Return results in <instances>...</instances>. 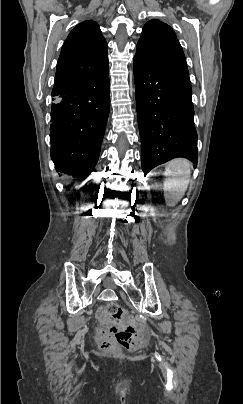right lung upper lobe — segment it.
I'll return each mask as SVG.
<instances>
[{
    "label": "right lung upper lobe",
    "mask_w": 243,
    "mask_h": 404,
    "mask_svg": "<svg viewBox=\"0 0 243 404\" xmlns=\"http://www.w3.org/2000/svg\"><path fill=\"white\" fill-rule=\"evenodd\" d=\"M108 68L107 43L98 24H78L65 40L52 93L84 82Z\"/></svg>",
    "instance_id": "right-lung-upper-lobe-1"
}]
</instances>
